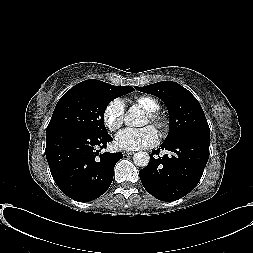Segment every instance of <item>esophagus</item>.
<instances>
[{
	"instance_id": "obj_1",
	"label": "esophagus",
	"mask_w": 253,
	"mask_h": 253,
	"mask_svg": "<svg viewBox=\"0 0 253 253\" xmlns=\"http://www.w3.org/2000/svg\"><path fill=\"white\" fill-rule=\"evenodd\" d=\"M124 156H129V155H132L134 154V152H131V151H125L123 152Z\"/></svg>"
}]
</instances>
